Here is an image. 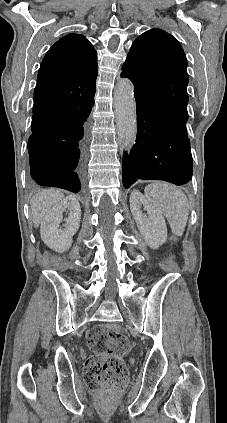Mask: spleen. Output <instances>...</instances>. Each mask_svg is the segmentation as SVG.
<instances>
[{
    "label": "spleen",
    "mask_w": 227,
    "mask_h": 423,
    "mask_svg": "<svg viewBox=\"0 0 227 423\" xmlns=\"http://www.w3.org/2000/svg\"><path fill=\"white\" fill-rule=\"evenodd\" d=\"M145 196L153 210L167 217L172 233L183 235L189 213V202L185 194L167 182H153L146 186Z\"/></svg>",
    "instance_id": "1"
}]
</instances>
